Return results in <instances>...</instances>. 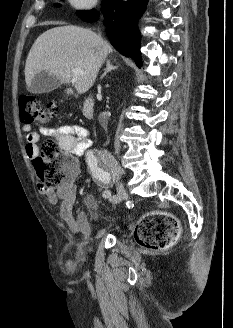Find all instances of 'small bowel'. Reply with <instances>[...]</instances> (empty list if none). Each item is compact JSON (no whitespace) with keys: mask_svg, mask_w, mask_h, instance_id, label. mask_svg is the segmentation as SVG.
<instances>
[{"mask_svg":"<svg viewBox=\"0 0 233 328\" xmlns=\"http://www.w3.org/2000/svg\"><path fill=\"white\" fill-rule=\"evenodd\" d=\"M23 130L26 132L25 150L29 157H34L37 152V144L40 136L54 138L60 149L75 156H81L89 152L92 145L89 131L77 124H65L53 128H41L40 133L32 131L31 126L25 124ZM40 195L50 204L60 207V215L65 221H72V209L76 201L77 188L74 184V177L69 179L57 189H47L43 185H38ZM77 225L81 230L86 228V221L80 214L76 218Z\"/></svg>","mask_w":233,"mask_h":328,"instance_id":"obj_1","label":"small bowel"}]
</instances>
